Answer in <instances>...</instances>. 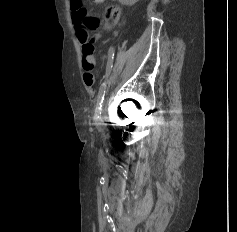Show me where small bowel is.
Wrapping results in <instances>:
<instances>
[{
    "label": "small bowel",
    "instance_id": "obj_1",
    "mask_svg": "<svg viewBox=\"0 0 237 232\" xmlns=\"http://www.w3.org/2000/svg\"><path fill=\"white\" fill-rule=\"evenodd\" d=\"M94 3L101 4L106 0H92ZM117 14L114 18L109 19L106 23V28H112L119 20L120 10L118 7H113ZM80 43L82 44V67H83V80L87 86H92L94 83V67L95 59L93 57L94 46L93 43L88 41V39H82L78 36Z\"/></svg>",
    "mask_w": 237,
    "mask_h": 232
}]
</instances>
